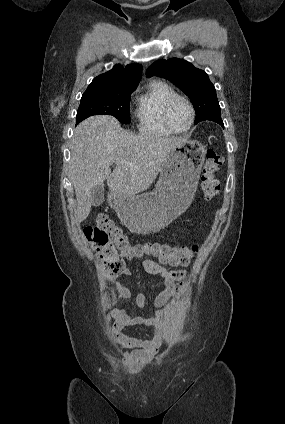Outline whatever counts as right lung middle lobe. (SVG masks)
Listing matches in <instances>:
<instances>
[{"label":"right lung middle lobe","instance_id":"1","mask_svg":"<svg viewBox=\"0 0 285 424\" xmlns=\"http://www.w3.org/2000/svg\"><path fill=\"white\" fill-rule=\"evenodd\" d=\"M137 86H120L87 89L81 98L76 123L92 115H112L120 122H131L129 115L130 95Z\"/></svg>","mask_w":285,"mask_h":424}]
</instances>
